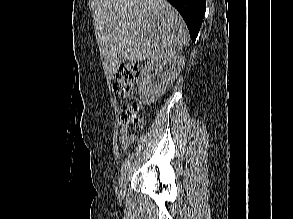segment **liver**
Masks as SVG:
<instances>
[{"instance_id":"1","label":"liver","mask_w":293,"mask_h":219,"mask_svg":"<svg viewBox=\"0 0 293 219\" xmlns=\"http://www.w3.org/2000/svg\"><path fill=\"white\" fill-rule=\"evenodd\" d=\"M95 33L113 78L130 62L178 55L188 40L184 20L166 0H98Z\"/></svg>"}]
</instances>
